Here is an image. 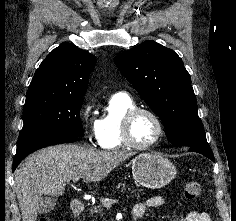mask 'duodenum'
Listing matches in <instances>:
<instances>
[{
    "mask_svg": "<svg viewBox=\"0 0 236 221\" xmlns=\"http://www.w3.org/2000/svg\"><path fill=\"white\" fill-rule=\"evenodd\" d=\"M71 212L74 217H78L80 214H82L85 210L84 203L79 200H73L71 202Z\"/></svg>",
    "mask_w": 236,
    "mask_h": 221,
    "instance_id": "duodenum-1",
    "label": "duodenum"
}]
</instances>
